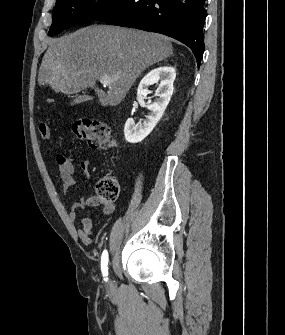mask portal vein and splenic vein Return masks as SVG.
Returning <instances> with one entry per match:
<instances>
[{"instance_id": "18ae733b", "label": "portal vein and splenic vein", "mask_w": 285, "mask_h": 335, "mask_svg": "<svg viewBox=\"0 0 285 335\" xmlns=\"http://www.w3.org/2000/svg\"><path fill=\"white\" fill-rule=\"evenodd\" d=\"M119 76H100V84H103V86H108V84H111V82H116L118 80Z\"/></svg>"}]
</instances>
